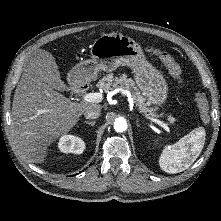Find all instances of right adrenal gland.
I'll list each match as a JSON object with an SVG mask.
<instances>
[{"instance_id": "2a0ac1e0", "label": "right adrenal gland", "mask_w": 221, "mask_h": 221, "mask_svg": "<svg viewBox=\"0 0 221 221\" xmlns=\"http://www.w3.org/2000/svg\"><path fill=\"white\" fill-rule=\"evenodd\" d=\"M85 124H88L90 126H94L95 125V121H84Z\"/></svg>"}]
</instances>
